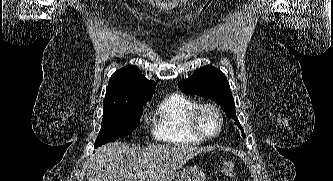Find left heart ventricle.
Wrapping results in <instances>:
<instances>
[{
	"mask_svg": "<svg viewBox=\"0 0 333 181\" xmlns=\"http://www.w3.org/2000/svg\"><path fill=\"white\" fill-rule=\"evenodd\" d=\"M200 126L206 134L212 135L218 130V120L212 112L205 111L200 116Z\"/></svg>",
	"mask_w": 333,
	"mask_h": 181,
	"instance_id": "left-heart-ventricle-1",
	"label": "left heart ventricle"
}]
</instances>
